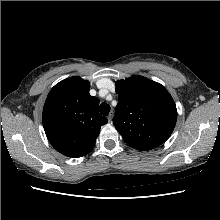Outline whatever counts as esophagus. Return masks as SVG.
Segmentation results:
<instances>
[{"label": "esophagus", "mask_w": 220, "mask_h": 220, "mask_svg": "<svg viewBox=\"0 0 220 220\" xmlns=\"http://www.w3.org/2000/svg\"><path fill=\"white\" fill-rule=\"evenodd\" d=\"M112 117H113V112H110L107 117L109 122L112 120Z\"/></svg>", "instance_id": "1"}]
</instances>
